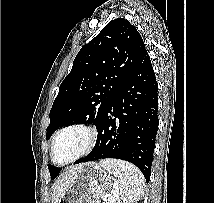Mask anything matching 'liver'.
<instances>
[{
  "label": "liver",
  "instance_id": "6515ba94",
  "mask_svg": "<svg viewBox=\"0 0 214 203\" xmlns=\"http://www.w3.org/2000/svg\"><path fill=\"white\" fill-rule=\"evenodd\" d=\"M81 166L82 164L72 166L66 169L63 174L57 178L53 185L52 203H58L62 193L73 184Z\"/></svg>",
  "mask_w": 214,
  "mask_h": 203
}]
</instances>
